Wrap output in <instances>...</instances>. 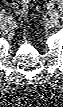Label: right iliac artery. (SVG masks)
Segmentation results:
<instances>
[{
  "label": "right iliac artery",
  "instance_id": "1",
  "mask_svg": "<svg viewBox=\"0 0 63 107\" xmlns=\"http://www.w3.org/2000/svg\"><path fill=\"white\" fill-rule=\"evenodd\" d=\"M1 18H2L1 20L5 19L4 21H6V22H9L10 20H12L11 16H7V17L2 16Z\"/></svg>",
  "mask_w": 63,
  "mask_h": 107
}]
</instances>
